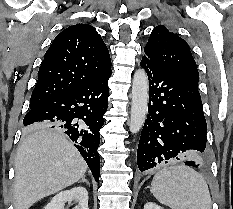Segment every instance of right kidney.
<instances>
[{
    "instance_id": "ca27d5eb",
    "label": "right kidney",
    "mask_w": 233,
    "mask_h": 209,
    "mask_svg": "<svg viewBox=\"0 0 233 209\" xmlns=\"http://www.w3.org/2000/svg\"><path fill=\"white\" fill-rule=\"evenodd\" d=\"M71 201L78 203L76 209H89L88 191L84 187H75L62 191L52 198L45 209H64L65 203Z\"/></svg>"
}]
</instances>
